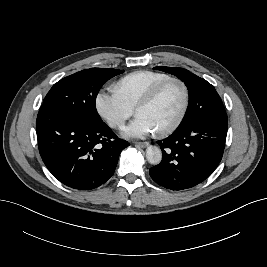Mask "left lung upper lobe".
<instances>
[{"label": "left lung upper lobe", "mask_w": 267, "mask_h": 267, "mask_svg": "<svg viewBox=\"0 0 267 267\" xmlns=\"http://www.w3.org/2000/svg\"><path fill=\"white\" fill-rule=\"evenodd\" d=\"M156 69L173 74L182 80L189 91L190 101L183 121L177 129L198 121L204 110L212 109L226 115L223 103L215 88L206 80L190 71L177 67L159 66Z\"/></svg>", "instance_id": "obj_1"}]
</instances>
